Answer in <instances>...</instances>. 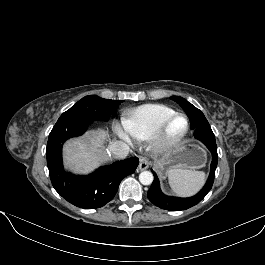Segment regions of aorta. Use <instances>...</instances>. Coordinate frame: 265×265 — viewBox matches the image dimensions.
I'll list each match as a JSON object with an SVG mask.
<instances>
[{
  "label": "aorta",
  "instance_id": "762f6f07",
  "mask_svg": "<svg viewBox=\"0 0 265 265\" xmlns=\"http://www.w3.org/2000/svg\"><path fill=\"white\" fill-rule=\"evenodd\" d=\"M153 174L150 171H143L139 175V181L143 185H150L153 182Z\"/></svg>",
  "mask_w": 265,
  "mask_h": 265
}]
</instances>
